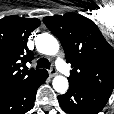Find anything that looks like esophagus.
Returning a JSON list of instances; mask_svg holds the SVG:
<instances>
[{"mask_svg": "<svg viewBox=\"0 0 114 114\" xmlns=\"http://www.w3.org/2000/svg\"><path fill=\"white\" fill-rule=\"evenodd\" d=\"M56 74H57V71H56L55 68H51V69L49 70V75H50V77H54Z\"/></svg>", "mask_w": 114, "mask_h": 114, "instance_id": "34e87169", "label": "esophagus"}]
</instances>
